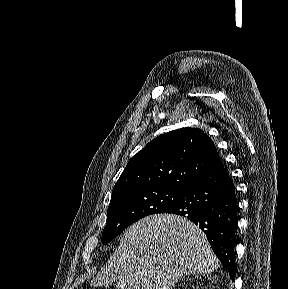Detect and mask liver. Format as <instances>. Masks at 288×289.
Masks as SVG:
<instances>
[{
  "label": "liver",
  "instance_id": "liver-1",
  "mask_svg": "<svg viewBox=\"0 0 288 289\" xmlns=\"http://www.w3.org/2000/svg\"><path fill=\"white\" fill-rule=\"evenodd\" d=\"M219 261L205 234L187 218L147 216L123 234L117 250L92 280L117 289H170L182 277L216 270Z\"/></svg>",
  "mask_w": 288,
  "mask_h": 289
}]
</instances>
